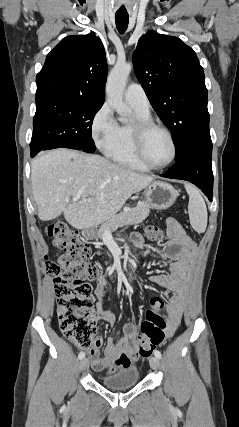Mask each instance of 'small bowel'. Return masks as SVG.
<instances>
[{
	"mask_svg": "<svg viewBox=\"0 0 239 427\" xmlns=\"http://www.w3.org/2000/svg\"><path fill=\"white\" fill-rule=\"evenodd\" d=\"M167 235L169 241L162 249L155 250V253L161 259L169 261V269L165 273L152 276L151 281L172 293L165 306L167 316L166 334L170 337L174 334L180 323L186 299V284L196 247L175 219L170 218L167 220ZM131 239L134 247L140 250L143 246L142 236L139 233H134ZM141 255L149 256L153 254L149 251H144L141 252ZM108 282L109 279L107 277H102L96 284L94 290L97 299L95 318L97 320H104L111 326H114L116 323L115 316L105 311L102 305ZM137 336L136 325L127 323L124 326V334L118 342L114 341L111 337L107 339L103 357L99 356L98 351L102 345V338L95 337L93 347L88 350L92 367L97 371H107L110 374L114 373L117 369L129 368L140 357Z\"/></svg>",
	"mask_w": 239,
	"mask_h": 427,
	"instance_id": "small-bowel-1",
	"label": "small bowel"
}]
</instances>
